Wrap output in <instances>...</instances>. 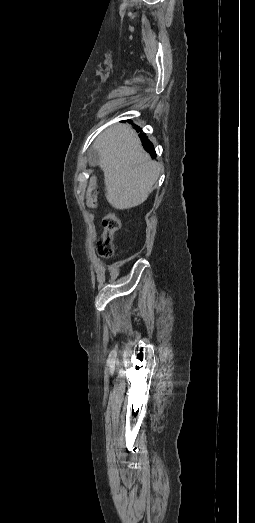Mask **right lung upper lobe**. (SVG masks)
I'll return each mask as SVG.
<instances>
[{
	"mask_svg": "<svg viewBox=\"0 0 255 523\" xmlns=\"http://www.w3.org/2000/svg\"><path fill=\"white\" fill-rule=\"evenodd\" d=\"M139 131V130H138ZM140 138L142 139L143 146L146 151H148L153 158H156V153L154 150L153 144L148 140L145 134H140Z\"/></svg>",
	"mask_w": 255,
	"mask_h": 523,
	"instance_id": "1",
	"label": "right lung upper lobe"
}]
</instances>
